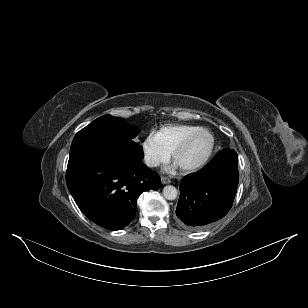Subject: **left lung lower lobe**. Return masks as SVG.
Masks as SVG:
<instances>
[{"label":"left lung lower lobe","mask_w":308,"mask_h":308,"mask_svg":"<svg viewBox=\"0 0 308 308\" xmlns=\"http://www.w3.org/2000/svg\"><path fill=\"white\" fill-rule=\"evenodd\" d=\"M237 166V153L223 149L206 167L182 179L176 209L181 226L201 230L229 212L238 186Z\"/></svg>","instance_id":"0a47b994"}]
</instances>
